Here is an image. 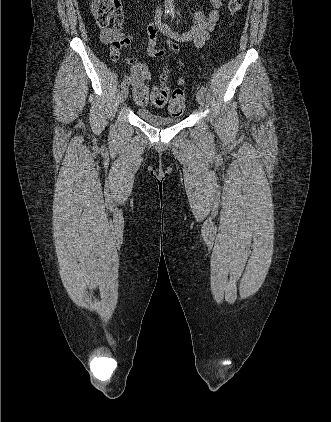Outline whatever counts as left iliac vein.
Returning <instances> with one entry per match:
<instances>
[{
	"label": "left iliac vein",
	"mask_w": 331,
	"mask_h": 422,
	"mask_svg": "<svg viewBox=\"0 0 331 422\" xmlns=\"http://www.w3.org/2000/svg\"><path fill=\"white\" fill-rule=\"evenodd\" d=\"M196 99H197V102L202 106V105H204V102H205V96H204V93L201 91V90H198L197 91V93H196Z\"/></svg>",
	"instance_id": "1"
}]
</instances>
